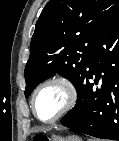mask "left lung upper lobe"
<instances>
[{"label": "left lung upper lobe", "instance_id": "obj_1", "mask_svg": "<svg viewBox=\"0 0 119 141\" xmlns=\"http://www.w3.org/2000/svg\"><path fill=\"white\" fill-rule=\"evenodd\" d=\"M119 10V0H50L36 22L25 67V96L59 73L80 87L98 35Z\"/></svg>", "mask_w": 119, "mask_h": 141}]
</instances>
